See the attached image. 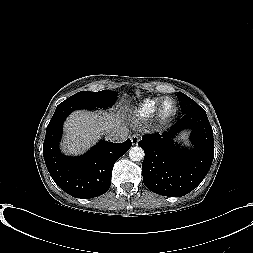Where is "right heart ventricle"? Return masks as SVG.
Returning <instances> with one entry per match:
<instances>
[{
	"instance_id": "right-heart-ventricle-1",
	"label": "right heart ventricle",
	"mask_w": 253,
	"mask_h": 253,
	"mask_svg": "<svg viewBox=\"0 0 253 253\" xmlns=\"http://www.w3.org/2000/svg\"><path fill=\"white\" fill-rule=\"evenodd\" d=\"M161 98H146L134 108V115L140 120L152 118Z\"/></svg>"
}]
</instances>
